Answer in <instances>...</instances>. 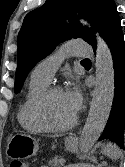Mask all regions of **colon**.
I'll use <instances>...</instances> for the list:
<instances>
[{
	"instance_id": "5ec220e1",
	"label": "colon",
	"mask_w": 125,
	"mask_h": 167,
	"mask_svg": "<svg viewBox=\"0 0 125 167\" xmlns=\"http://www.w3.org/2000/svg\"><path fill=\"white\" fill-rule=\"evenodd\" d=\"M8 167H28L27 163L20 160H12Z\"/></svg>"
}]
</instances>
